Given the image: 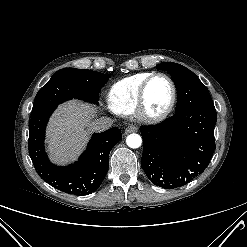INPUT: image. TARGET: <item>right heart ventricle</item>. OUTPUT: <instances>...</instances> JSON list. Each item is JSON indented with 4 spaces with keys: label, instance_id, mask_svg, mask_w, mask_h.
<instances>
[{
    "label": "right heart ventricle",
    "instance_id": "1",
    "mask_svg": "<svg viewBox=\"0 0 247 247\" xmlns=\"http://www.w3.org/2000/svg\"><path fill=\"white\" fill-rule=\"evenodd\" d=\"M151 74L153 73L140 72L114 83L108 93L110 108L121 115L133 113L136 108L140 87Z\"/></svg>",
    "mask_w": 247,
    "mask_h": 247
}]
</instances>
